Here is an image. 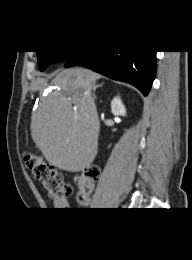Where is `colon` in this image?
I'll return each mask as SVG.
<instances>
[{"label": "colon", "instance_id": "colon-1", "mask_svg": "<svg viewBox=\"0 0 192 260\" xmlns=\"http://www.w3.org/2000/svg\"><path fill=\"white\" fill-rule=\"evenodd\" d=\"M24 162L32 176L41 183L52 200H62L70 196L72 192L71 186L65 182L62 174L41 156L33 152H26ZM99 175V169L92 167L77 177V202L79 204L84 205L88 202L89 194L93 191Z\"/></svg>", "mask_w": 192, "mask_h": 260}]
</instances>
